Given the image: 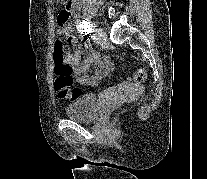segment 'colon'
<instances>
[{"mask_svg": "<svg viewBox=\"0 0 207 179\" xmlns=\"http://www.w3.org/2000/svg\"><path fill=\"white\" fill-rule=\"evenodd\" d=\"M54 63L55 88L58 90L59 96L72 100L81 95V89L72 86V68L66 61L64 45L61 40H57L55 43ZM147 75L148 69L146 67H140L133 74L132 81L142 82L147 78Z\"/></svg>", "mask_w": 207, "mask_h": 179, "instance_id": "colon-1", "label": "colon"}]
</instances>
